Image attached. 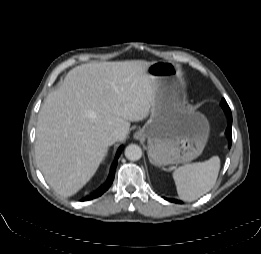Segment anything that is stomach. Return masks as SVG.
Masks as SVG:
<instances>
[{"mask_svg":"<svg viewBox=\"0 0 261 254\" xmlns=\"http://www.w3.org/2000/svg\"><path fill=\"white\" fill-rule=\"evenodd\" d=\"M147 74L154 79V98L150 118L136 137L147 140L148 157L155 166L192 161L207 143L208 120L183 102L184 85L177 64L156 61Z\"/></svg>","mask_w":261,"mask_h":254,"instance_id":"0dacf381","label":"stomach"}]
</instances>
